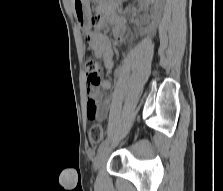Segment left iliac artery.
I'll return each mask as SVG.
<instances>
[{
    "instance_id": "44dca946",
    "label": "left iliac artery",
    "mask_w": 223,
    "mask_h": 191,
    "mask_svg": "<svg viewBox=\"0 0 223 191\" xmlns=\"http://www.w3.org/2000/svg\"><path fill=\"white\" fill-rule=\"evenodd\" d=\"M108 145V139H105L99 146L98 148V152H100L101 150H103L106 146Z\"/></svg>"
}]
</instances>
